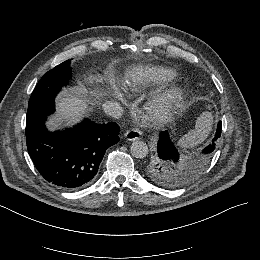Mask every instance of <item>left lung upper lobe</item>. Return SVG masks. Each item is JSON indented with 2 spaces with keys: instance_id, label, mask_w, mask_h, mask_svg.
<instances>
[{
  "instance_id": "5c2ea615",
  "label": "left lung upper lobe",
  "mask_w": 260,
  "mask_h": 260,
  "mask_svg": "<svg viewBox=\"0 0 260 260\" xmlns=\"http://www.w3.org/2000/svg\"><path fill=\"white\" fill-rule=\"evenodd\" d=\"M212 153L203 152L195 159L165 160L156 149L149 154L143 165V172L147 179L156 185L168 189L184 186L201 175Z\"/></svg>"
}]
</instances>
